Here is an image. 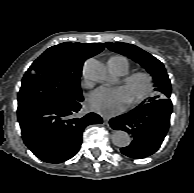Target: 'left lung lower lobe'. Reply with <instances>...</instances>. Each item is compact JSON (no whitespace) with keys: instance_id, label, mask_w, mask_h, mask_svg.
<instances>
[{"instance_id":"0a47b994","label":"left lung lower lobe","mask_w":194,"mask_h":193,"mask_svg":"<svg viewBox=\"0 0 194 193\" xmlns=\"http://www.w3.org/2000/svg\"><path fill=\"white\" fill-rule=\"evenodd\" d=\"M171 113L172 102L169 98H164L112 118L110 126L127 132L132 138L130 145L121 148V152L135 159H142L156 152L169 129Z\"/></svg>"}]
</instances>
